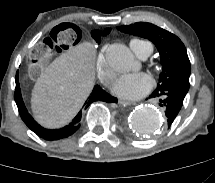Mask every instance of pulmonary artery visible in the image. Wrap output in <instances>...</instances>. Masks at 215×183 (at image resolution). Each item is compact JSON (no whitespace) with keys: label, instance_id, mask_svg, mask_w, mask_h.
<instances>
[{"label":"pulmonary artery","instance_id":"pulmonary-artery-1","mask_svg":"<svg viewBox=\"0 0 215 183\" xmlns=\"http://www.w3.org/2000/svg\"><path fill=\"white\" fill-rule=\"evenodd\" d=\"M148 56H149L148 53H144L140 58H141V59H146Z\"/></svg>","mask_w":215,"mask_h":183}]
</instances>
